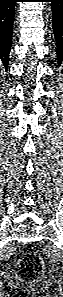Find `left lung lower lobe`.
I'll return each mask as SVG.
<instances>
[{"label":"left lung lower lobe","mask_w":63,"mask_h":297,"mask_svg":"<svg viewBox=\"0 0 63 297\" xmlns=\"http://www.w3.org/2000/svg\"><path fill=\"white\" fill-rule=\"evenodd\" d=\"M52 2V23L57 45L58 64L63 61V0H47Z\"/></svg>","instance_id":"1"}]
</instances>
